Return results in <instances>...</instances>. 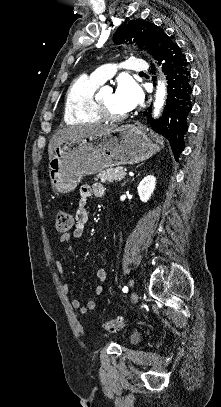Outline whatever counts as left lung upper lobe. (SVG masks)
<instances>
[{
	"mask_svg": "<svg viewBox=\"0 0 221 407\" xmlns=\"http://www.w3.org/2000/svg\"><path fill=\"white\" fill-rule=\"evenodd\" d=\"M166 34L155 24L137 19L126 25L118 27L114 41L117 44L124 42L137 43L140 47L147 49L157 60L161 49L162 39Z\"/></svg>",
	"mask_w": 221,
	"mask_h": 407,
	"instance_id": "left-lung-upper-lobe-1",
	"label": "left lung upper lobe"
}]
</instances>
